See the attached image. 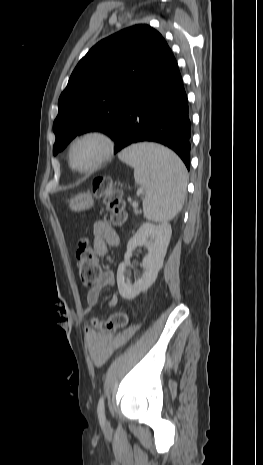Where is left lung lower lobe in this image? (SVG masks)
Returning a JSON list of instances; mask_svg holds the SVG:
<instances>
[{"mask_svg":"<svg viewBox=\"0 0 263 465\" xmlns=\"http://www.w3.org/2000/svg\"><path fill=\"white\" fill-rule=\"evenodd\" d=\"M190 118L177 62L167 46L137 81L114 137V153L150 141L174 150L190 169Z\"/></svg>","mask_w":263,"mask_h":465,"instance_id":"left-lung-lower-lobe-1","label":"left lung lower lobe"}]
</instances>
